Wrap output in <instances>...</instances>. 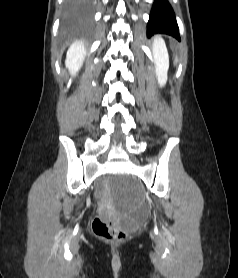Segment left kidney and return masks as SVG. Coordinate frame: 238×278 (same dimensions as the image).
Wrapping results in <instances>:
<instances>
[{"instance_id": "1", "label": "left kidney", "mask_w": 238, "mask_h": 278, "mask_svg": "<svg viewBox=\"0 0 238 278\" xmlns=\"http://www.w3.org/2000/svg\"><path fill=\"white\" fill-rule=\"evenodd\" d=\"M153 55L155 61V71L158 83L163 86L166 83L167 71L169 68V55L163 39L158 38L153 42Z\"/></svg>"}]
</instances>
